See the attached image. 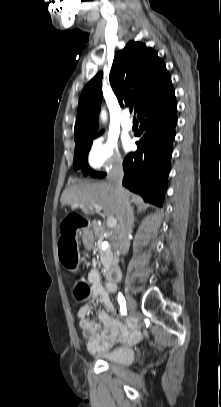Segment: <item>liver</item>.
I'll return each instance as SVG.
<instances>
[{
  "label": "liver",
  "mask_w": 221,
  "mask_h": 407,
  "mask_svg": "<svg viewBox=\"0 0 221 407\" xmlns=\"http://www.w3.org/2000/svg\"><path fill=\"white\" fill-rule=\"evenodd\" d=\"M128 199L130 193L127 191ZM62 205H70L72 208H80L86 215H93V204L102 207L104 216H115L119 220L120 205L117 201L114 187L109 182L82 183L65 189L61 195Z\"/></svg>",
  "instance_id": "1"
}]
</instances>
